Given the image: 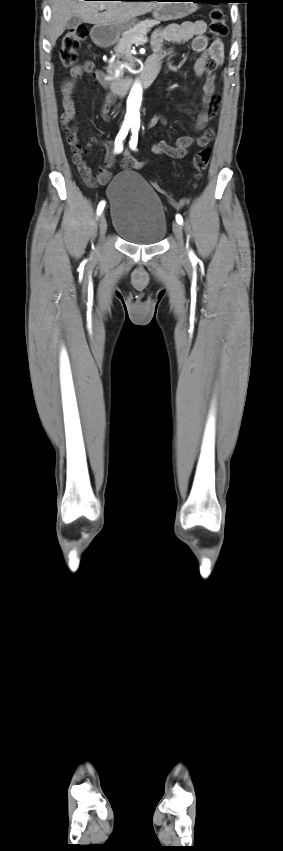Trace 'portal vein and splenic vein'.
Instances as JSON below:
<instances>
[{
	"label": "portal vein and splenic vein",
	"instance_id": "portal-vein-and-splenic-vein-1",
	"mask_svg": "<svg viewBox=\"0 0 283 851\" xmlns=\"http://www.w3.org/2000/svg\"><path fill=\"white\" fill-rule=\"evenodd\" d=\"M100 9H101V10H103V9H104V7L102 6ZM141 41L147 42V41H148V39H141Z\"/></svg>",
	"mask_w": 283,
	"mask_h": 851
}]
</instances>
